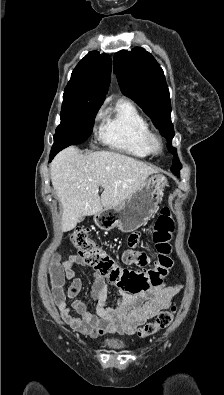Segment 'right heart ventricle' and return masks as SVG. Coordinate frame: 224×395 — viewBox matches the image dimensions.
I'll return each mask as SVG.
<instances>
[{
  "mask_svg": "<svg viewBox=\"0 0 224 395\" xmlns=\"http://www.w3.org/2000/svg\"><path fill=\"white\" fill-rule=\"evenodd\" d=\"M149 126L133 103L121 99L108 111L99 138L105 145L128 155L146 158L145 143Z\"/></svg>",
  "mask_w": 224,
  "mask_h": 395,
  "instance_id": "e07e8e85",
  "label": "right heart ventricle"
}]
</instances>
